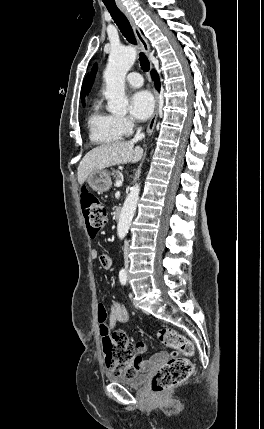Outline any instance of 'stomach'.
Wrapping results in <instances>:
<instances>
[{"instance_id": "obj_1", "label": "stomach", "mask_w": 264, "mask_h": 429, "mask_svg": "<svg viewBox=\"0 0 264 429\" xmlns=\"http://www.w3.org/2000/svg\"><path fill=\"white\" fill-rule=\"evenodd\" d=\"M87 183L97 193L106 192L112 186L110 173L106 169L92 171L87 178Z\"/></svg>"}]
</instances>
